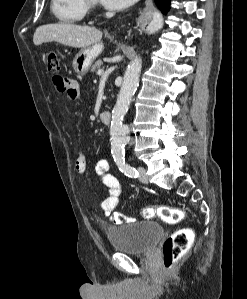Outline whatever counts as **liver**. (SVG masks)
Listing matches in <instances>:
<instances>
[{
	"label": "liver",
	"mask_w": 247,
	"mask_h": 299,
	"mask_svg": "<svg viewBox=\"0 0 247 299\" xmlns=\"http://www.w3.org/2000/svg\"><path fill=\"white\" fill-rule=\"evenodd\" d=\"M102 32L95 27L74 24H47L39 26L33 36L34 45L58 42L74 48H86L100 42Z\"/></svg>",
	"instance_id": "obj_1"
}]
</instances>
